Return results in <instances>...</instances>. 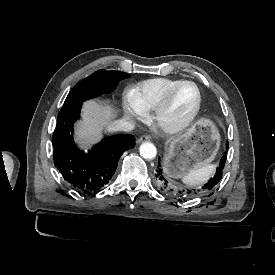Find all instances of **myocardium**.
<instances>
[{
  "label": "myocardium",
  "instance_id": "obj_1",
  "mask_svg": "<svg viewBox=\"0 0 275 275\" xmlns=\"http://www.w3.org/2000/svg\"><path fill=\"white\" fill-rule=\"evenodd\" d=\"M184 84H191L195 87L196 93H197V100L196 103L193 107V109L188 113V115L181 120L180 122L176 124H170L166 125L162 122V117L168 112L170 109V106L172 104L174 94L176 90ZM202 104V94L199 86L191 81V80H181L176 82L174 85L171 86V88L168 90L166 93L163 101L161 104L158 106V108L155 110V116H154V121L156 127L163 133L165 134H177L182 131H184L186 128L190 126V124L194 121L196 116L198 115L200 108Z\"/></svg>",
  "mask_w": 275,
  "mask_h": 275
}]
</instances>
